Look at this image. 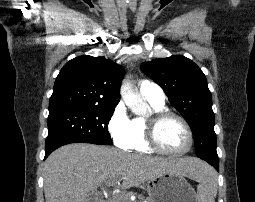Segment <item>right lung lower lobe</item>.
I'll list each match as a JSON object with an SVG mask.
<instances>
[{"mask_svg":"<svg viewBox=\"0 0 255 202\" xmlns=\"http://www.w3.org/2000/svg\"><path fill=\"white\" fill-rule=\"evenodd\" d=\"M62 146L61 144H57V145H52L50 147H47L45 150V158L55 149H57L58 147Z\"/></svg>","mask_w":255,"mask_h":202,"instance_id":"1","label":"right lung lower lobe"}]
</instances>
